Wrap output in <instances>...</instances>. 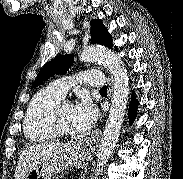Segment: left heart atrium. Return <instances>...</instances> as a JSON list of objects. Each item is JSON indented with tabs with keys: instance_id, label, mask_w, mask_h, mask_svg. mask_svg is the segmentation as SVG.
Segmentation results:
<instances>
[{
	"instance_id": "1",
	"label": "left heart atrium",
	"mask_w": 183,
	"mask_h": 179,
	"mask_svg": "<svg viewBox=\"0 0 183 179\" xmlns=\"http://www.w3.org/2000/svg\"><path fill=\"white\" fill-rule=\"evenodd\" d=\"M97 109L88 98H82L73 106V120L77 131L89 128L97 119Z\"/></svg>"
}]
</instances>
